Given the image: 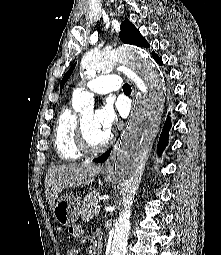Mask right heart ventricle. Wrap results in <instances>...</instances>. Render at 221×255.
Wrapping results in <instances>:
<instances>
[{
    "label": "right heart ventricle",
    "instance_id": "1",
    "mask_svg": "<svg viewBox=\"0 0 221 255\" xmlns=\"http://www.w3.org/2000/svg\"><path fill=\"white\" fill-rule=\"evenodd\" d=\"M78 116L71 107H64L58 115L53 131L55 150L66 162L80 160L84 153L77 143Z\"/></svg>",
    "mask_w": 221,
    "mask_h": 255
}]
</instances>
